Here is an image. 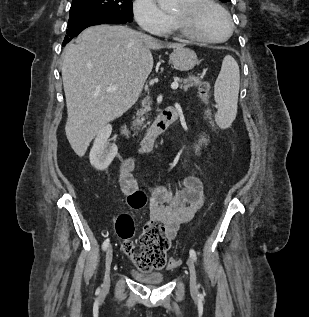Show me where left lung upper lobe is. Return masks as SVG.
<instances>
[{
  "mask_svg": "<svg viewBox=\"0 0 309 317\" xmlns=\"http://www.w3.org/2000/svg\"><path fill=\"white\" fill-rule=\"evenodd\" d=\"M220 1H222V2H224V3H225V2H228V1H230V0H220Z\"/></svg>",
  "mask_w": 309,
  "mask_h": 317,
  "instance_id": "obj_1",
  "label": "left lung upper lobe"
}]
</instances>
